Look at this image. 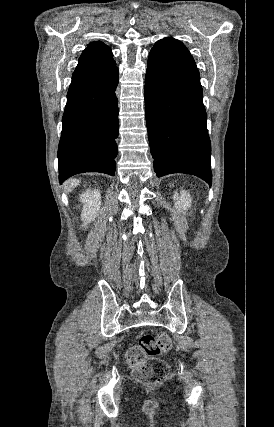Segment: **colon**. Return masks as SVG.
Returning a JSON list of instances; mask_svg holds the SVG:
<instances>
[{
	"label": "colon",
	"mask_w": 274,
	"mask_h": 427,
	"mask_svg": "<svg viewBox=\"0 0 274 427\" xmlns=\"http://www.w3.org/2000/svg\"><path fill=\"white\" fill-rule=\"evenodd\" d=\"M171 348L166 334H144L126 351V362L132 369L135 382L148 385L165 381L171 371L168 363L158 356Z\"/></svg>",
	"instance_id": "1"
}]
</instances>
